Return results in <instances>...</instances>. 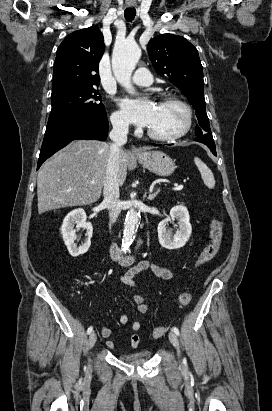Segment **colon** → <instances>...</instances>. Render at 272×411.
<instances>
[{
    "mask_svg": "<svg viewBox=\"0 0 272 411\" xmlns=\"http://www.w3.org/2000/svg\"><path fill=\"white\" fill-rule=\"evenodd\" d=\"M223 232L221 222L212 220L210 223V244L198 256L195 265L199 266L214 259L220 250L222 244ZM191 293L187 290L183 291L178 298V303L181 307L187 306L191 301ZM167 332L166 327H155L152 331L153 338H160Z\"/></svg>",
    "mask_w": 272,
    "mask_h": 411,
    "instance_id": "obj_1",
    "label": "colon"
}]
</instances>
